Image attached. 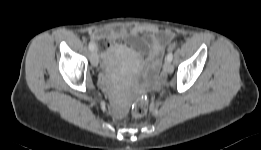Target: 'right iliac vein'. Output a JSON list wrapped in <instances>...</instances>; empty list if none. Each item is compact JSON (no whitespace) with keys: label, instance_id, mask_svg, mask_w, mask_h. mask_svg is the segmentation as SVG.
<instances>
[{"label":"right iliac vein","instance_id":"63e3f726","mask_svg":"<svg viewBox=\"0 0 261 150\" xmlns=\"http://www.w3.org/2000/svg\"><path fill=\"white\" fill-rule=\"evenodd\" d=\"M91 64L97 66L99 63V57L96 51H93L90 57Z\"/></svg>","mask_w":261,"mask_h":150}]
</instances>
